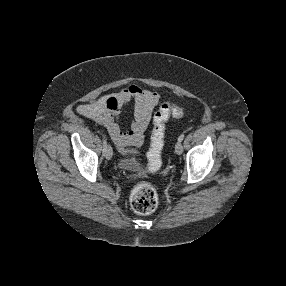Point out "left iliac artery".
<instances>
[{
    "label": "left iliac artery",
    "mask_w": 286,
    "mask_h": 286,
    "mask_svg": "<svg viewBox=\"0 0 286 286\" xmlns=\"http://www.w3.org/2000/svg\"><path fill=\"white\" fill-rule=\"evenodd\" d=\"M184 137H185V135H184V134H181V135L179 136V138H178V141H179V142H182L183 139H184Z\"/></svg>",
    "instance_id": "left-iliac-artery-1"
}]
</instances>
